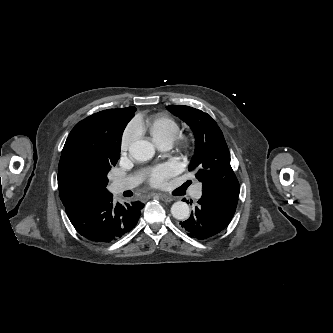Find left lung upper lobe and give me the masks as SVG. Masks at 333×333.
Wrapping results in <instances>:
<instances>
[{
	"mask_svg": "<svg viewBox=\"0 0 333 333\" xmlns=\"http://www.w3.org/2000/svg\"><path fill=\"white\" fill-rule=\"evenodd\" d=\"M168 110L185 121L195 135V155L189 171L196 173L203 191L217 197H238L239 182L230 165V153L213 118L189 106L170 105Z\"/></svg>",
	"mask_w": 333,
	"mask_h": 333,
	"instance_id": "5c2ea615",
	"label": "left lung upper lobe"
}]
</instances>
